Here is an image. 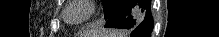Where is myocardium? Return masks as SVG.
<instances>
[{
  "label": "myocardium",
  "mask_w": 219,
  "mask_h": 37,
  "mask_svg": "<svg viewBox=\"0 0 219 37\" xmlns=\"http://www.w3.org/2000/svg\"><path fill=\"white\" fill-rule=\"evenodd\" d=\"M74 5H82L86 8V13L85 15L78 19V20H70L68 18V12L69 10L74 6ZM97 8L95 5V1H90V0H74L69 3L67 6L65 12H64V19L72 25H79L90 19L96 12Z\"/></svg>",
  "instance_id": "obj_1"
}]
</instances>
